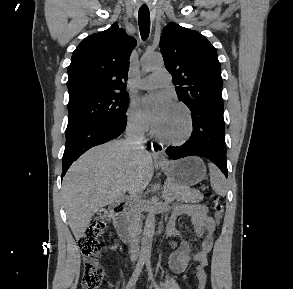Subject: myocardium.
<instances>
[{
  "label": "myocardium",
  "mask_w": 293,
  "mask_h": 289,
  "mask_svg": "<svg viewBox=\"0 0 293 289\" xmlns=\"http://www.w3.org/2000/svg\"><path fill=\"white\" fill-rule=\"evenodd\" d=\"M175 107L180 108L186 116V120H187V127H186V131L184 132V134L176 139H171V138H166L162 135H160L158 133V131L156 130V128H153L152 130V135L161 143L166 144V145H171V146H182L184 144H186L192 137L193 132H194V120H193V116H192V112L190 110V108L182 103V102H176L174 103Z\"/></svg>",
  "instance_id": "1"
}]
</instances>
